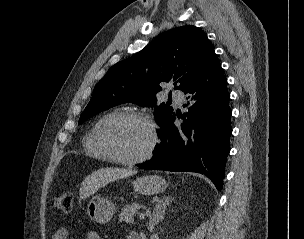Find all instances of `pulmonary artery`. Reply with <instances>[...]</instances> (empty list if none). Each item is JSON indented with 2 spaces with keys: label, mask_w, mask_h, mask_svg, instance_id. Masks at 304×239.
I'll list each match as a JSON object with an SVG mask.
<instances>
[{
  "label": "pulmonary artery",
  "mask_w": 304,
  "mask_h": 239,
  "mask_svg": "<svg viewBox=\"0 0 304 239\" xmlns=\"http://www.w3.org/2000/svg\"><path fill=\"white\" fill-rule=\"evenodd\" d=\"M172 97L176 101V103L181 104L184 100V94L180 90H176L172 92Z\"/></svg>",
  "instance_id": "pulmonary-artery-1"
}]
</instances>
